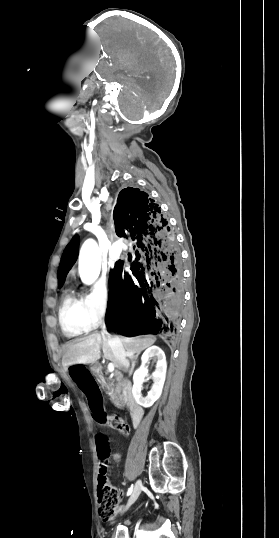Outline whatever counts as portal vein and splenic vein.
Segmentation results:
<instances>
[{"mask_svg":"<svg viewBox=\"0 0 279 538\" xmlns=\"http://www.w3.org/2000/svg\"><path fill=\"white\" fill-rule=\"evenodd\" d=\"M109 372H114V364H108Z\"/></svg>","mask_w":279,"mask_h":538,"instance_id":"portal-vein-and-splenic-vein-1","label":"portal vein and splenic vein"}]
</instances>
